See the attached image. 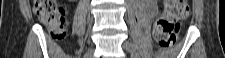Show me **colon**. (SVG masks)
Returning a JSON list of instances; mask_svg holds the SVG:
<instances>
[{"label": "colon", "instance_id": "5ec220e1", "mask_svg": "<svg viewBox=\"0 0 225 58\" xmlns=\"http://www.w3.org/2000/svg\"><path fill=\"white\" fill-rule=\"evenodd\" d=\"M34 12L54 40L64 37L67 27L66 9L57 0L35 1ZM188 0H167L153 27V37L162 48H170L178 40L181 22L189 17Z\"/></svg>", "mask_w": 225, "mask_h": 58}]
</instances>
